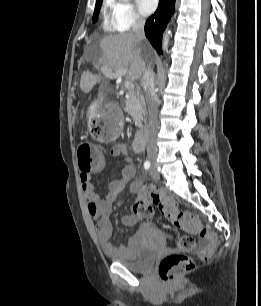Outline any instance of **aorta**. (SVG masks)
I'll use <instances>...</instances> for the list:
<instances>
[{"label": "aorta", "instance_id": "aorta-1", "mask_svg": "<svg viewBox=\"0 0 261 306\" xmlns=\"http://www.w3.org/2000/svg\"><path fill=\"white\" fill-rule=\"evenodd\" d=\"M171 34L170 30H166L164 36H163V41H162V49L165 51L167 50L168 43H169V35Z\"/></svg>", "mask_w": 261, "mask_h": 306}]
</instances>
